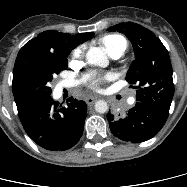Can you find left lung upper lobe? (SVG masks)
<instances>
[{
  "instance_id": "1",
  "label": "left lung upper lobe",
  "mask_w": 187,
  "mask_h": 187,
  "mask_svg": "<svg viewBox=\"0 0 187 187\" xmlns=\"http://www.w3.org/2000/svg\"><path fill=\"white\" fill-rule=\"evenodd\" d=\"M109 31L124 33L132 42L135 60L126 80L137 89L136 100L169 112L174 95L172 66L167 49L153 32L139 24L127 22Z\"/></svg>"
}]
</instances>
